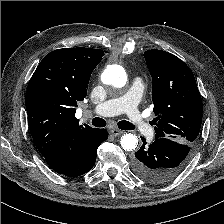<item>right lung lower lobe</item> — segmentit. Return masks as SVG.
Returning <instances> with one entry per match:
<instances>
[{
    "label": "right lung lower lobe",
    "mask_w": 224,
    "mask_h": 224,
    "mask_svg": "<svg viewBox=\"0 0 224 224\" xmlns=\"http://www.w3.org/2000/svg\"><path fill=\"white\" fill-rule=\"evenodd\" d=\"M108 138L105 129H96L86 140L76 144L54 171L68 177H77L90 171L95 164L99 145Z\"/></svg>",
    "instance_id": "obj_1"
}]
</instances>
